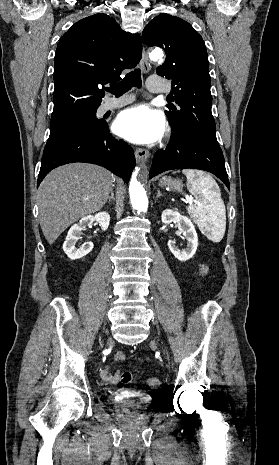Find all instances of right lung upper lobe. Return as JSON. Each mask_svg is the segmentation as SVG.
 Instances as JSON below:
<instances>
[{"label":"right lung upper lobe","instance_id":"1","mask_svg":"<svg viewBox=\"0 0 279 465\" xmlns=\"http://www.w3.org/2000/svg\"><path fill=\"white\" fill-rule=\"evenodd\" d=\"M138 34L123 31L106 14L75 23L61 38L54 64V109L50 126L97 109L105 85L141 59Z\"/></svg>","mask_w":279,"mask_h":465}]
</instances>
